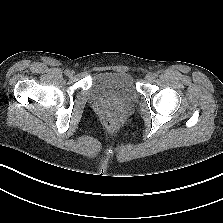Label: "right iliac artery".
Masks as SVG:
<instances>
[{"label":"right iliac artery","instance_id":"right-iliac-artery-1","mask_svg":"<svg viewBox=\"0 0 223 223\" xmlns=\"http://www.w3.org/2000/svg\"><path fill=\"white\" fill-rule=\"evenodd\" d=\"M69 72H70L69 70H65V74H66V75H68Z\"/></svg>","mask_w":223,"mask_h":223}]
</instances>
